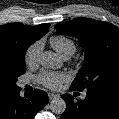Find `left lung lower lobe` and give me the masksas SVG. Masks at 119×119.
Returning <instances> with one entry per match:
<instances>
[{
    "label": "left lung lower lobe",
    "mask_w": 119,
    "mask_h": 119,
    "mask_svg": "<svg viewBox=\"0 0 119 119\" xmlns=\"http://www.w3.org/2000/svg\"><path fill=\"white\" fill-rule=\"evenodd\" d=\"M62 98L66 110L61 119H119V93L88 90L84 100L75 101L70 94Z\"/></svg>",
    "instance_id": "1"
}]
</instances>
